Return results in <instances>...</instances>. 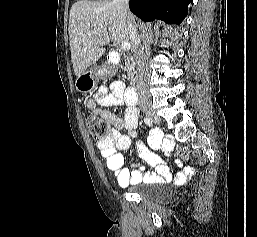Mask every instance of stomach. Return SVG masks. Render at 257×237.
<instances>
[{"instance_id": "obj_1", "label": "stomach", "mask_w": 257, "mask_h": 237, "mask_svg": "<svg viewBox=\"0 0 257 237\" xmlns=\"http://www.w3.org/2000/svg\"><path fill=\"white\" fill-rule=\"evenodd\" d=\"M101 75H103V69L95 66L91 67L89 70L77 77L75 81L77 91L81 93L91 92L96 86L98 77Z\"/></svg>"}]
</instances>
